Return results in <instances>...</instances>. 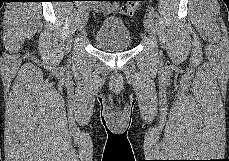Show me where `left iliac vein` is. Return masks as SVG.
<instances>
[{
	"label": "left iliac vein",
	"instance_id": "4c4485c4",
	"mask_svg": "<svg viewBox=\"0 0 229 161\" xmlns=\"http://www.w3.org/2000/svg\"><path fill=\"white\" fill-rule=\"evenodd\" d=\"M144 27L151 37L155 35V23L153 17L147 13L144 17Z\"/></svg>",
	"mask_w": 229,
	"mask_h": 161
}]
</instances>
